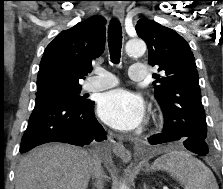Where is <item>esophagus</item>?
<instances>
[{
    "mask_svg": "<svg viewBox=\"0 0 223 189\" xmlns=\"http://www.w3.org/2000/svg\"><path fill=\"white\" fill-rule=\"evenodd\" d=\"M113 15L120 22L124 20V7L121 4H115L113 7ZM112 150L116 156H118L123 162H129L131 160V152L126 149L122 142L111 139Z\"/></svg>",
    "mask_w": 223,
    "mask_h": 189,
    "instance_id": "34e87169",
    "label": "esophagus"
}]
</instances>
